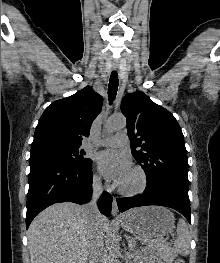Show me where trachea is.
I'll return each instance as SVG.
<instances>
[{
    "mask_svg": "<svg viewBox=\"0 0 220 263\" xmlns=\"http://www.w3.org/2000/svg\"><path fill=\"white\" fill-rule=\"evenodd\" d=\"M118 73L117 71H113L111 73L110 79H109V85H108V99L110 104H112V102L114 101L116 94H117V90H118Z\"/></svg>",
    "mask_w": 220,
    "mask_h": 263,
    "instance_id": "trachea-1",
    "label": "trachea"
}]
</instances>
